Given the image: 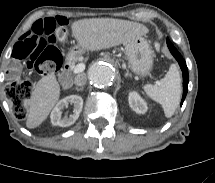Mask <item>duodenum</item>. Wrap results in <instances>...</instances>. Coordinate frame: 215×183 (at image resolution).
Wrapping results in <instances>:
<instances>
[{
    "instance_id": "obj_1",
    "label": "duodenum",
    "mask_w": 215,
    "mask_h": 183,
    "mask_svg": "<svg viewBox=\"0 0 215 183\" xmlns=\"http://www.w3.org/2000/svg\"><path fill=\"white\" fill-rule=\"evenodd\" d=\"M71 68H72V62L71 60H67L64 63V66L59 74V79L62 87L64 89H70L73 83L72 76H71Z\"/></svg>"
}]
</instances>
